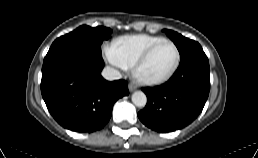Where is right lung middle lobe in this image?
I'll return each mask as SVG.
<instances>
[{"instance_id": "right-lung-middle-lobe-1", "label": "right lung middle lobe", "mask_w": 258, "mask_h": 158, "mask_svg": "<svg viewBox=\"0 0 258 158\" xmlns=\"http://www.w3.org/2000/svg\"><path fill=\"white\" fill-rule=\"evenodd\" d=\"M111 32L112 30L106 27L91 28L82 25L76 30L57 38L47 54L66 49H78L102 55L100 46L103 40L110 38Z\"/></svg>"}]
</instances>
